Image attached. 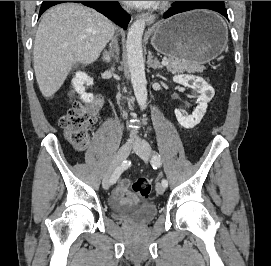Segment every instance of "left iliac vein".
I'll list each match as a JSON object with an SVG mask.
<instances>
[{"label":"left iliac vein","mask_w":271,"mask_h":266,"mask_svg":"<svg viewBox=\"0 0 271 266\" xmlns=\"http://www.w3.org/2000/svg\"><path fill=\"white\" fill-rule=\"evenodd\" d=\"M135 153L141 157L145 162L151 158V148L147 143H142L135 148ZM156 192L162 195L165 192V187L161 183L156 184Z\"/></svg>","instance_id":"4c4485c4"}]
</instances>
